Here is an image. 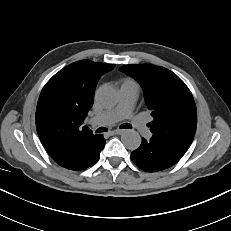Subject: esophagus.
<instances>
[{
    "instance_id": "esophagus-1",
    "label": "esophagus",
    "mask_w": 231,
    "mask_h": 231,
    "mask_svg": "<svg viewBox=\"0 0 231 231\" xmlns=\"http://www.w3.org/2000/svg\"><path fill=\"white\" fill-rule=\"evenodd\" d=\"M122 133H124V130H122V129H116V130L110 131L111 135L122 134Z\"/></svg>"
}]
</instances>
